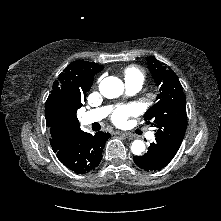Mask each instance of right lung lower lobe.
<instances>
[{
	"label": "right lung lower lobe",
	"mask_w": 221,
	"mask_h": 221,
	"mask_svg": "<svg viewBox=\"0 0 221 221\" xmlns=\"http://www.w3.org/2000/svg\"><path fill=\"white\" fill-rule=\"evenodd\" d=\"M109 137V133L101 131L95 135L82 132L72 147L56 152L57 158L77 174L92 171L101 162L102 151Z\"/></svg>",
	"instance_id": "obj_1"
}]
</instances>
